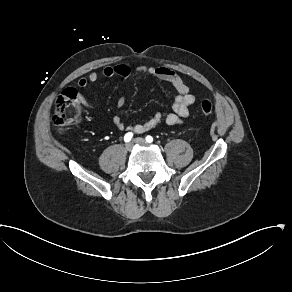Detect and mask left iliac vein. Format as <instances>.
Returning <instances> with one entry per match:
<instances>
[{"label": "left iliac vein", "mask_w": 292, "mask_h": 292, "mask_svg": "<svg viewBox=\"0 0 292 292\" xmlns=\"http://www.w3.org/2000/svg\"><path fill=\"white\" fill-rule=\"evenodd\" d=\"M134 142H135L136 144H138V145H146V141H145V139L140 138V137L135 138V139H134Z\"/></svg>", "instance_id": "left-iliac-vein-1"}]
</instances>
